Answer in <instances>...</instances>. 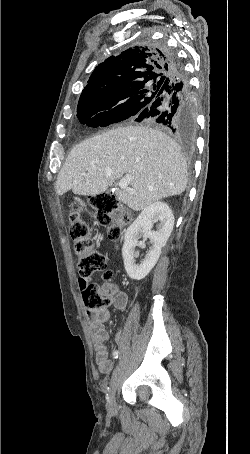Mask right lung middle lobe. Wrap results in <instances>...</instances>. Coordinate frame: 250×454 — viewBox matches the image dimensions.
Instances as JSON below:
<instances>
[{
	"mask_svg": "<svg viewBox=\"0 0 250 454\" xmlns=\"http://www.w3.org/2000/svg\"><path fill=\"white\" fill-rule=\"evenodd\" d=\"M160 85L147 89L140 85L123 95L102 102L83 103L77 107V117L82 124L90 127L107 126L112 123L136 116L156 97Z\"/></svg>",
	"mask_w": 250,
	"mask_h": 454,
	"instance_id": "1",
	"label": "right lung middle lobe"
}]
</instances>
